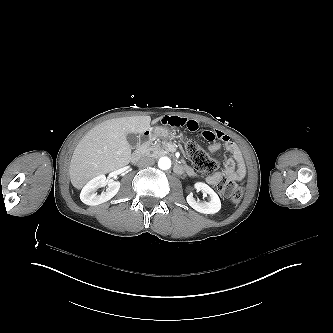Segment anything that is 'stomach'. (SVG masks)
I'll return each mask as SVG.
<instances>
[{
	"mask_svg": "<svg viewBox=\"0 0 333 333\" xmlns=\"http://www.w3.org/2000/svg\"><path fill=\"white\" fill-rule=\"evenodd\" d=\"M171 135V131L167 127L155 126L146 130L141 134L143 143L151 142L157 138L166 139Z\"/></svg>",
	"mask_w": 333,
	"mask_h": 333,
	"instance_id": "obj_1",
	"label": "stomach"
}]
</instances>
